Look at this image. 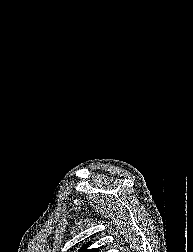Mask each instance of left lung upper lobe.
<instances>
[{
	"label": "left lung upper lobe",
	"mask_w": 193,
	"mask_h": 252,
	"mask_svg": "<svg viewBox=\"0 0 193 252\" xmlns=\"http://www.w3.org/2000/svg\"><path fill=\"white\" fill-rule=\"evenodd\" d=\"M86 248H87V245L84 244L80 252H98L97 249H86Z\"/></svg>",
	"instance_id": "obj_1"
}]
</instances>
